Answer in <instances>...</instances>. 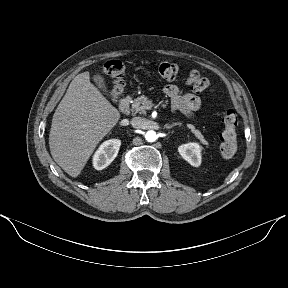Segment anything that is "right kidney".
<instances>
[{
    "label": "right kidney",
    "instance_id": "1",
    "mask_svg": "<svg viewBox=\"0 0 288 288\" xmlns=\"http://www.w3.org/2000/svg\"><path fill=\"white\" fill-rule=\"evenodd\" d=\"M121 141L111 139L100 145L93 156V166L96 170L106 168L117 156Z\"/></svg>",
    "mask_w": 288,
    "mask_h": 288
}]
</instances>
